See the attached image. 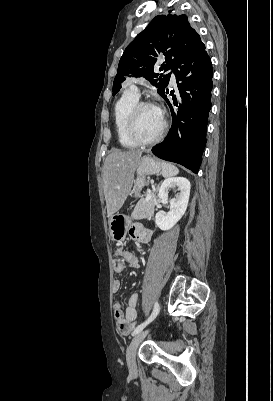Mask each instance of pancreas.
<instances>
[{
  "mask_svg": "<svg viewBox=\"0 0 273 401\" xmlns=\"http://www.w3.org/2000/svg\"><path fill=\"white\" fill-rule=\"evenodd\" d=\"M152 198L150 201H147L146 198H140L138 201L131 217L132 219H148V217H153L154 215V207L156 201V194H151Z\"/></svg>",
  "mask_w": 273,
  "mask_h": 401,
  "instance_id": "1",
  "label": "pancreas"
}]
</instances>
